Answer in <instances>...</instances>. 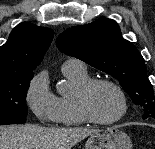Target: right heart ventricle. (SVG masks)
<instances>
[{"label":"right heart ventricle","mask_w":155,"mask_h":149,"mask_svg":"<svg viewBox=\"0 0 155 149\" xmlns=\"http://www.w3.org/2000/svg\"><path fill=\"white\" fill-rule=\"evenodd\" d=\"M65 77L72 85V91L69 94L57 97L56 122L65 126H79L87 121L81 115L77 102L76 94L78 89L91 79L85 69L83 70H62Z\"/></svg>","instance_id":"right-heart-ventricle-1"}]
</instances>
